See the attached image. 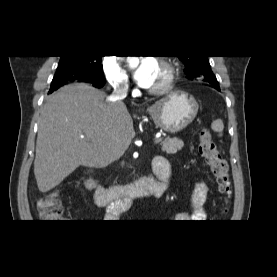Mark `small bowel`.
Returning a JSON list of instances; mask_svg holds the SVG:
<instances>
[{
  "label": "small bowel",
  "mask_w": 277,
  "mask_h": 277,
  "mask_svg": "<svg viewBox=\"0 0 277 277\" xmlns=\"http://www.w3.org/2000/svg\"><path fill=\"white\" fill-rule=\"evenodd\" d=\"M152 169H153L154 174L158 178L160 176V168L154 162V159L152 161ZM170 178H171V173L169 175L168 180L162 185L163 190H162L161 196L167 190L169 182H170ZM207 193H208L207 185L203 182L198 183L194 189V192L192 194L191 201H190L191 213L182 212L178 215V218L181 220L188 219V218H194V219L205 218L206 214H205V210H204V204L206 201Z\"/></svg>",
  "instance_id": "c3829d8e"
}]
</instances>
